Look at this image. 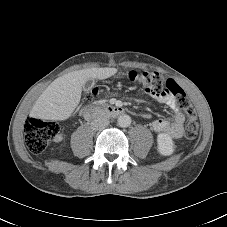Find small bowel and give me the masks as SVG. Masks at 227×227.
<instances>
[{
	"mask_svg": "<svg viewBox=\"0 0 227 227\" xmlns=\"http://www.w3.org/2000/svg\"><path fill=\"white\" fill-rule=\"evenodd\" d=\"M145 95L155 98L159 103L168 106L174 112L172 120L165 118L154 120L151 124L152 129L157 133H166L173 138L181 137L184 131L185 115L178 108L173 95L169 94L167 89H161L160 92L157 90L146 89ZM56 140L60 141L61 136H57Z\"/></svg>",
	"mask_w": 227,
	"mask_h": 227,
	"instance_id": "1",
	"label": "small bowel"
}]
</instances>
